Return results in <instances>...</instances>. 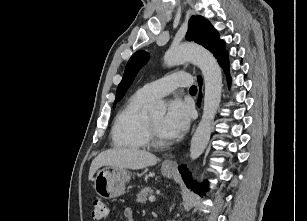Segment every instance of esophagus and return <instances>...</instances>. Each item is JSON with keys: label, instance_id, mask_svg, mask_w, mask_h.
<instances>
[{"label": "esophagus", "instance_id": "34e87169", "mask_svg": "<svg viewBox=\"0 0 307 221\" xmlns=\"http://www.w3.org/2000/svg\"><path fill=\"white\" fill-rule=\"evenodd\" d=\"M164 165L167 166V167H170V168H175V167H177L176 161L170 160V159L165 160V161H164Z\"/></svg>", "mask_w": 307, "mask_h": 221}]
</instances>
